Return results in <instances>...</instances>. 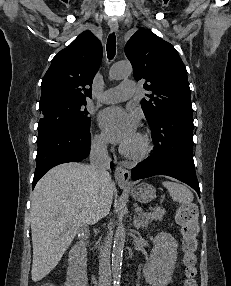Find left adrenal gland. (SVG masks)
Here are the masks:
<instances>
[{
    "label": "left adrenal gland",
    "instance_id": "1",
    "mask_svg": "<svg viewBox=\"0 0 231 286\" xmlns=\"http://www.w3.org/2000/svg\"><path fill=\"white\" fill-rule=\"evenodd\" d=\"M133 224L136 229H139L140 227L144 228L147 225V223L144 220H140V217L137 215L134 216Z\"/></svg>",
    "mask_w": 231,
    "mask_h": 286
}]
</instances>
